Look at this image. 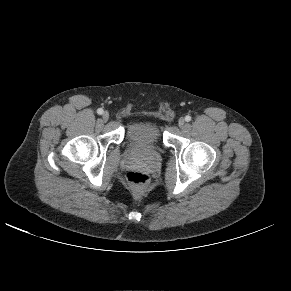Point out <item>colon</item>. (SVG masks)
<instances>
[{
  "label": "colon",
  "instance_id": "5ec220e1",
  "mask_svg": "<svg viewBox=\"0 0 291 291\" xmlns=\"http://www.w3.org/2000/svg\"><path fill=\"white\" fill-rule=\"evenodd\" d=\"M126 178L128 183L137 190L144 189L150 181L149 176L140 171H131L127 174Z\"/></svg>",
  "mask_w": 291,
  "mask_h": 291
}]
</instances>
